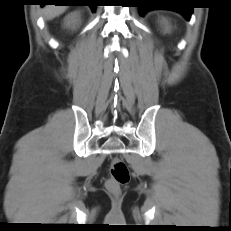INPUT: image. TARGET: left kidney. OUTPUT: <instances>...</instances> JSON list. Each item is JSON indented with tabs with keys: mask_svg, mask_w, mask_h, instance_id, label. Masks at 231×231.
Returning <instances> with one entry per match:
<instances>
[{
	"mask_svg": "<svg viewBox=\"0 0 231 231\" xmlns=\"http://www.w3.org/2000/svg\"><path fill=\"white\" fill-rule=\"evenodd\" d=\"M161 23H162V25L164 26L165 32H167V31L170 30V25H169V23H168V21H167L166 19H162V20H161Z\"/></svg>",
	"mask_w": 231,
	"mask_h": 231,
	"instance_id": "5707ae66",
	"label": "left kidney"
}]
</instances>
